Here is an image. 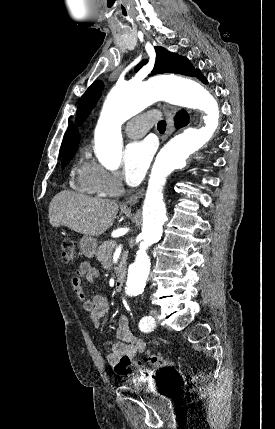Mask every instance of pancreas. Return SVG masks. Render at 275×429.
Segmentation results:
<instances>
[{"mask_svg": "<svg viewBox=\"0 0 275 429\" xmlns=\"http://www.w3.org/2000/svg\"><path fill=\"white\" fill-rule=\"evenodd\" d=\"M114 248H115V245L113 241L108 240L103 242L99 246L96 253L97 260L108 269L112 267V255H113ZM124 263H125V257H123L119 266L122 267Z\"/></svg>", "mask_w": 275, "mask_h": 429, "instance_id": "cf45deb5", "label": "pancreas"}]
</instances>
